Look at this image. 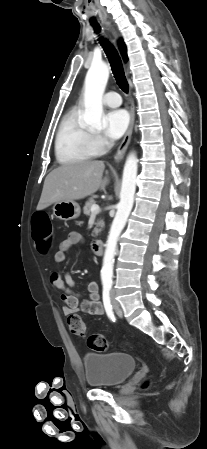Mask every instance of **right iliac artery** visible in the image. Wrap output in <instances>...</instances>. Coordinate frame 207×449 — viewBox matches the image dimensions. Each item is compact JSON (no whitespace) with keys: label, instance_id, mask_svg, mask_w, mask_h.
I'll return each mask as SVG.
<instances>
[{"label":"right iliac artery","instance_id":"obj_1","mask_svg":"<svg viewBox=\"0 0 207 449\" xmlns=\"http://www.w3.org/2000/svg\"><path fill=\"white\" fill-rule=\"evenodd\" d=\"M103 304L105 307V311H106L108 317L110 318V320L115 321V315H114L113 307L111 305V300H110V288L109 287L103 288Z\"/></svg>","mask_w":207,"mask_h":449}]
</instances>
